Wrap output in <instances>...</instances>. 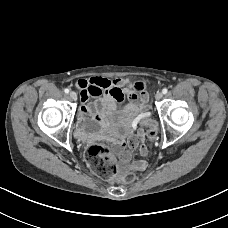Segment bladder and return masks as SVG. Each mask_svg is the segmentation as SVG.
Wrapping results in <instances>:
<instances>
[{"label": "bladder", "instance_id": "bladder-1", "mask_svg": "<svg viewBox=\"0 0 228 228\" xmlns=\"http://www.w3.org/2000/svg\"><path fill=\"white\" fill-rule=\"evenodd\" d=\"M127 114L124 106H120L118 105L117 107H115L114 110H112L108 115L106 120L108 122H117V121H121L123 119L127 118Z\"/></svg>", "mask_w": 228, "mask_h": 228}]
</instances>
